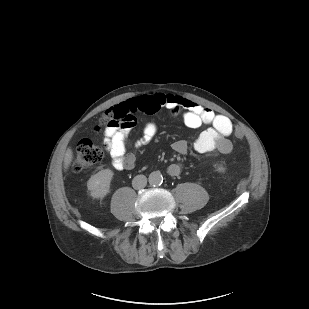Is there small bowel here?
<instances>
[{
    "mask_svg": "<svg viewBox=\"0 0 309 309\" xmlns=\"http://www.w3.org/2000/svg\"><path fill=\"white\" fill-rule=\"evenodd\" d=\"M162 108H167L172 112L184 110V122L188 127L197 128L202 124L210 126L201 133L194 143V149L197 152L229 154L232 151V143L229 140L233 131L231 121L226 116L215 114L211 109L194 101L172 94L156 93L131 98L115 106L117 114L124 112L155 114ZM130 130V127L120 126H109L105 130V144L111 157L112 166L119 171L131 169L135 165L134 156L126 153ZM157 131L156 124L147 123L141 137L135 142V146L142 147L148 144L154 139ZM173 148L176 152L184 155L188 151V144L186 140L180 139L174 142ZM167 172L170 176L176 177L182 172V165L173 163L168 167Z\"/></svg>",
    "mask_w": 309,
    "mask_h": 309,
    "instance_id": "obj_1",
    "label": "small bowel"
}]
</instances>
